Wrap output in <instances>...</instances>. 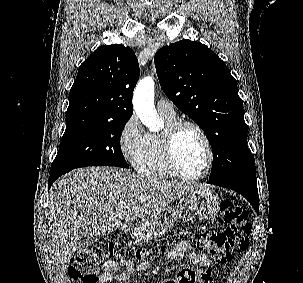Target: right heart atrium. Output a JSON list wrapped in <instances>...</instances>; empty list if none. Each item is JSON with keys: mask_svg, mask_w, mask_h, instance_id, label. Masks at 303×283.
Returning a JSON list of instances; mask_svg holds the SVG:
<instances>
[{"mask_svg": "<svg viewBox=\"0 0 303 283\" xmlns=\"http://www.w3.org/2000/svg\"><path fill=\"white\" fill-rule=\"evenodd\" d=\"M148 134L136 115H131L121 128L119 147L125 160L134 164L145 149Z\"/></svg>", "mask_w": 303, "mask_h": 283, "instance_id": "obj_1", "label": "right heart atrium"}]
</instances>
